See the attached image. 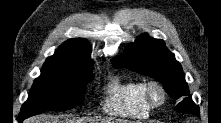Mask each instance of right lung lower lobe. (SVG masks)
<instances>
[{"label": "right lung lower lobe", "instance_id": "98d812e1", "mask_svg": "<svg viewBox=\"0 0 221 123\" xmlns=\"http://www.w3.org/2000/svg\"><path fill=\"white\" fill-rule=\"evenodd\" d=\"M25 118H27L26 115H21V114H19V120H20V121L24 120Z\"/></svg>", "mask_w": 221, "mask_h": 123}]
</instances>
